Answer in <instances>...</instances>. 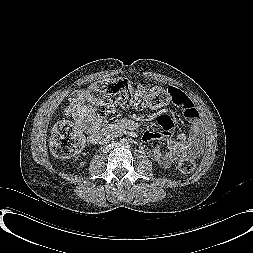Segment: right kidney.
Instances as JSON below:
<instances>
[{
    "mask_svg": "<svg viewBox=\"0 0 253 253\" xmlns=\"http://www.w3.org/2000/svg\"><path fill=\"white\" fill-rule=\"evenodd\" d=\"M85 164H86V162H80V163H79V168L84 167Z\"/></svg>",
    "mask_w": 253,
    "mask_h": 253,
    "instance_id": "obj_1",
    "label": "right kidney"
}]
</instances>
